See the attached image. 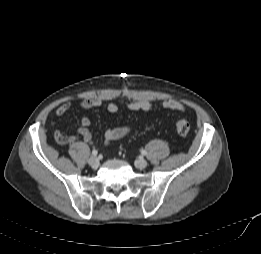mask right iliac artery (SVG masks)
<instances>
[{
	"label": "right iliac artery",
	"instance_id": "obj_1",
	"mask_svg": "<svg viewBox=\"0 0 261 254\" xmlns=\"http://www.w3.org/2000/svg\"><path fill=\"white\" fill-rule=\"evenodd\" d=\"M97 154H98V151H97L96 149H94V150L92 151V155L96 156Z\"/></svg>",
	"mask_w": 261,
	"mask_h": 254
}]
</instances>
